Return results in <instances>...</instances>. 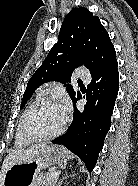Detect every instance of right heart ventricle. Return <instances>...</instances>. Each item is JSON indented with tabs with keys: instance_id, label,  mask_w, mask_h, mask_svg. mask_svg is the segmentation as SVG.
<instances>
[{
	"instance_id": "e07e8e85",
	"label": "right heart ventricle",
	"mask_w": 138,
	"mask_h": 186,
	"mask_svg": "<svg viewBox=\"0 0 138 186\" xmlns=\"http://www.w3.org/2000/svg\"><path fill=\"white\" fill-rule=\"evenodd\" d=\"M44 98V90L40 89L36 95L34 96V98L30 101L29 105L27 106V108L25 109V111L23 112L22 116L24 115V113L35 103H37L38 101H40L41 99ZM22 119V117H21ZM21 119L20 122L18 124L17 130H16V137H15V143L17 147H25L30 145L32 142L26 140L22 134H21Z\"/></svg>"
}]
</instances>
